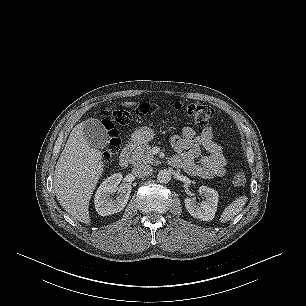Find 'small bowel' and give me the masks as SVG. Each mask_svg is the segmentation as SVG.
Instances as JSON below:
<instances>
[{
	"label": "small bowel",
	"mask_w": 306,
	"mask_h": 306,
	"mask_svg": "<svg viewBox=\"0 0 306 306\" xmlns=\"http://www.w3.org/2000/svg\"><path fill=\"white\" fill-rule=\"evenodd\" d=\"M170 142L177 156L171 158L170 163L180 167L188 174L202 179L223 177L226 173L227 158L223 148L213 139V129L206 127L200 134L186 126L182 129V135H172ZM202 149L208 154L202 156Z\"/></svg>",
	"instance_id": "1"
}]
</instances>
